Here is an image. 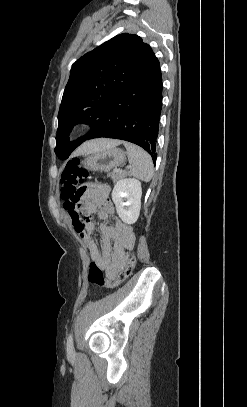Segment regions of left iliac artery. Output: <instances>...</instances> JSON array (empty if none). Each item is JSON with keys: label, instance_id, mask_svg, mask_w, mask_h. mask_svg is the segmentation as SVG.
<instances>
[{"label": "left iliac artery", "instance_id": "obj_1", "mask_svg": "<svg viewBox=\"0 0 247 407\" xmlns=\"http://www.w3.org/2000/svg\"><path fill=\"white\" fill-rule=\"evenodd\" d=\"M67 351H73V336L72 334L69 335L68 339H67Z\"/></svg>", "mask_w": 247, "mask_h": 407}]
</instances>
